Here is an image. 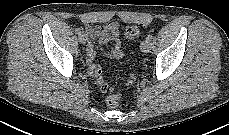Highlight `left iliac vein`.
Instances as JSON below:
<instances>
[{"label": "left iliac vein", "instance_id": "1", "mask_svg": "<svg viewBox=\"0 0 229 135\" xmlns=\"http://www.w3.org/2000/svg\"><path fill=\"white\" fill-rule=\"evenodd\" d=\"M141 49L144 51V52H149L150 49H151V42L149 40H144L142 43H141Z\"/></svg>", "mask_w": 229, "mask_h": 135}]
</instances>
